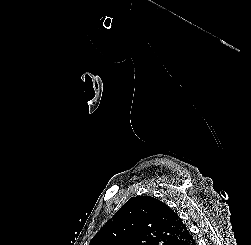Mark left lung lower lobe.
I'll list each match as a JSON object with an SVG mask.
<instances>
[{"label":"left lung lower lobe","mask_w":251,"mask_h":245,"mask_svg":"<svg viewBox=\"0 0 251 245\" xmlns=\"http://www.w3.org/2000/svg\"><path fill=\"white\" fill-rule=\"evenodd\" d=\"M172 245H196L192 234L186 228Z\"/></svg>","instance_id":"left-lung-lower-lobe-1"}]
</instances>
